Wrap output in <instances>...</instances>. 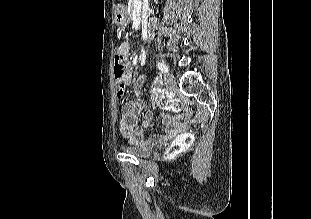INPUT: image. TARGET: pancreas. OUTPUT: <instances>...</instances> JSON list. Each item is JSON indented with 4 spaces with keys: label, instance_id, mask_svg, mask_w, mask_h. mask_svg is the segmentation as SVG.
I'll return each mask as SVG.
<instances>
[{
    "label": "pancreas",
    "instance_id": "pancreas-1",
    "mask_svg": "<svg viewBox=\"0 0 311 219\" xmlns=\"http://www.w3.org/2000/svg\"><path fill=\"white\" fill-rule=\"evenodd\" d=\"M134 5H135V0H130L129 6H128V13L131 18L133 17V13H134Z\"/></svg>",
    "mask_w": 311,
    "mask_h": 219
}]
</instances>
